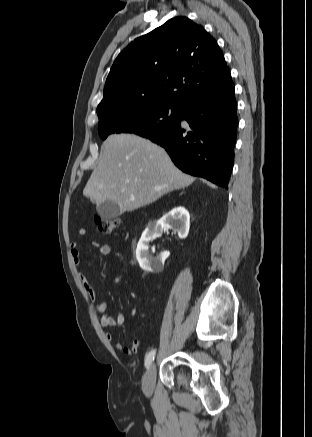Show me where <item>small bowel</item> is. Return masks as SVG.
Segmentation results:
<instances>
[{
  "label": "small bowel",
  "mask_w": 312,
  "mask_h": 437,
  "mask_svg": "<svg viewBox=\"0 0 312 437\" xmlns=\"http://www.w3.org/2000/svg\"><path fill=\"white\" fill-rule=\"evenodd\" d=\"M80 236H84L86 234V230L84 228L79 229L78 231ZM93 246L98 249L99 255L102 257L108 256L112 253V246L109 244H100L99 242H93ZM71 249V256L74 264L76 266L81 265V254L78 249V244L76 242H72L70 244ZM79 278L87 291V294L89 298L94 302L95 305V311L98 313H101L102 316L100 318V325L102 328H112V327H118L121 326L124 323V315L118 314L116 316H112L109 314H105L106 310V304L104 302L97 300V293L91 283L89 282L88 278L85 274L79 273ZM105 338L108 342H113L114 336L111 332L105 333ZM115 348L121 352H123L126 355H134L138 348H139V341L133 340L130 346H125L121 342L115 343Z\"/></svg>",
  "instance_id": "obj_1"
}]
</instances>
